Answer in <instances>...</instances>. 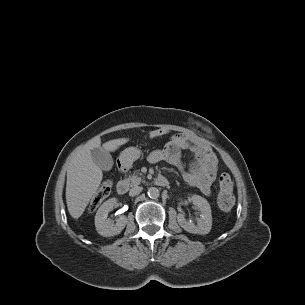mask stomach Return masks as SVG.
<instances>
[{"label": "stomach", "mask_w": 305, "mask_h": 305, "mask_svg": "<svg viewBox=\"0 0 305 305\" xmlns=\"http://www.w3.org/2000/svg\"><path fill=\"white\" fill-rule=\"evenodd\" d=\"M141 156L140 149L136 147H128L124 151L121 152L118 160L121 164V166L127 168L132 165L134 161L139 159Z\"/></svg>", "instance_id": "1"}]
</instances>
